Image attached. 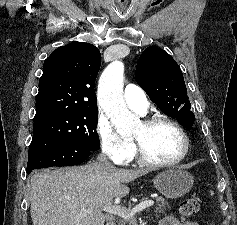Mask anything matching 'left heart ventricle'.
Segmentation results:
<instances>
[{
  "label": "left heart ventricle",
  "instance_id": "obj_1",
  "mask_svg": "<svg viewBox=\"0 0 237 225\" xmlns=\"http://www.w3.org/2000/svg\"><path fill=\"white\" fill-rule=\"evenodd\" d=\"M130 138L136 140L149 158L168 161L175 159L183 150L179 133L171 126L157 125L150 129L142 123L133 131Z\"/></svg>",
  "mask_w": 237,
  "mask_h": 225
}]
</instances>
